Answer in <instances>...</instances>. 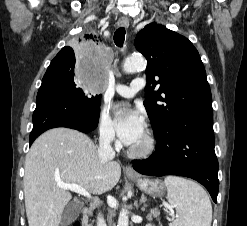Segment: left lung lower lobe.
<instances>
[{"label":"left lung lower lobe","mask_w":247,"mask_h":226,"mask_svg":"<svg viewBox=\"0 0 247 226\" xmlns=\"http://www.w3.org/2000/svg\"><path fill=\"white\" fill-rule=\"evenodd\" d=\"M154 136L155 151L146 160H134L133 168L144 175L192 178L207 188L216 203L219 180L212 108L194 109Z\"/></svg>","instance_id":"obj_1"}]
</instances>
